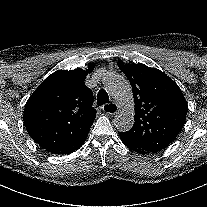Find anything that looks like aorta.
I'll return each instance as SVG.
<instances>
[{"label": "aorta", "instance_id": "obj_1", "mask_svg": "<svg viewBox=\"0 0 207 207\" xmlns=\"http://www.w3.org/2000/svg\"><path fill=\"white\" fill-rule=\"evenodd\" d=\"M103 83L120 107L114 117V126L121 132L129 131L134 124V98L130 83L125 77L114 72H108Z\"/></svg>", "mask_w": 207, "mask_h": 207}]
</instances>
